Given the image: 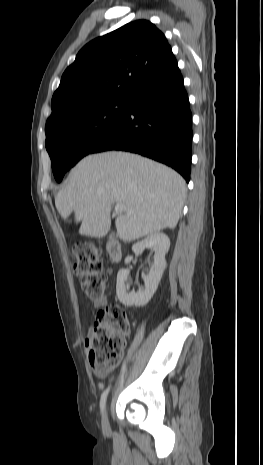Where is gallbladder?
<instances>
[{
    "label": "gallbladder",
    "mask_w": 263,
    "mask_h": 465,
    "mask_svg": "<svg viewBox=\"0 0 263 465\" xmlns=\"http://www.w3.org/2000/svg\"><path fill=\"white\" fill-rule=\"evenodd\" d=\"M112 238H113V236L111 235V236L109 237V239H112Z\"/></svg>",
    "instance_id": "1"
}]
</instances>
